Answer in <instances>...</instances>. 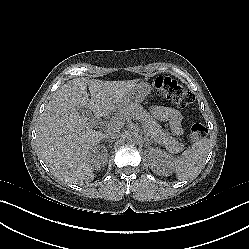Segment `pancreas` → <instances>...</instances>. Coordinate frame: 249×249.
Segmentation results:
<instances>
[{
  "label": "pancreas",
  "instance_id": "obj_1",
  "mask_svg": "<svg viewBox=\"0 0 249 249\" xmlns=\"http://www.w3.org/2000/svg\"><path fill=\"white\" fill-rule=\"evenodd\" d=\"M123 118H135L140 121L144 129L148 132V136L164 144L170 149L176 150L181 147V143L168 133H164L160 124L139 104H129L121 110Z\"/></svg>",
  "mask_w": 249,
  "mask_h": 249
}]
</instances>
